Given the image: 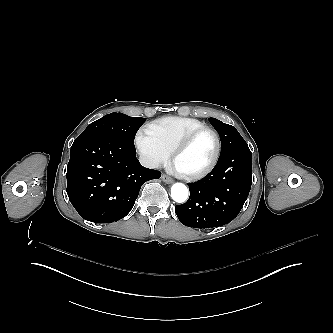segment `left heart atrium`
<instances>
[{
  "label": "left heart atrium",
  "mask_w": 333,
  "mask_h": 333,
  "mask_svg": "<svg viewBox=\"0 0 333 333\" xmlns=\"http://www.w3.org/2000/svg\"><path fill=\"white\" fill-rule=\"evenodd\" d=\"M170 172L175 175H180L182 174L175 166L170 165Z\"/></svg>",
  "instance_id": "1"
}]
</instances>
